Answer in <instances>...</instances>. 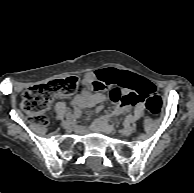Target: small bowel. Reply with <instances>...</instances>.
Here are the masks:
<instances>
[{"mask_svg":"<svg viewBox=\"0 0 194 193\" xmlns=\"http://www.w3.org/2000/svg\"><path fill=\"white\" fill-rule=\"evenodd\" d=\"M120 71L115 68H105L97 71L86 73L82 78V90L72 100L71 104L76 111L83 108L97 107L101 108L107 97L100 92L101 86L104 85L103 81L109 78L116 79L120 76ZM149 87L152 86L142 78H137V84L132 90L142 96L148 92ZM131 110V106L127 103L119 104L115 109L106 115L98 117L94 124L101 127L105 132L110 133L113 127L108 124L109 120L115 116L126 114ZM139 114V110L137 111Z\"/></svg>","mask_w":194,"mask_h":193,"instance_id":"1","label":"small bowel"}]
</instances>
